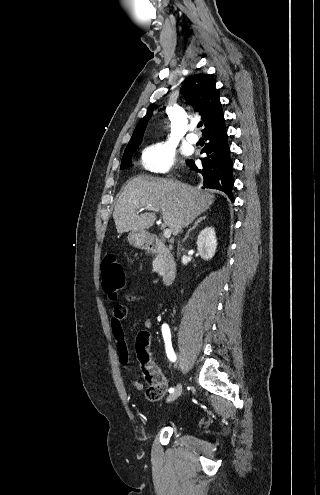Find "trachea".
Here are the masks:
<instances>
[{
    "mask_svg": "<svg viewBox=\"0 0 320 495\" xmlns=\"http://www.w3.org/2000/svg\"><path fill=\"white\" fill-rule=\"evenodd\" d=\"M201 126H202V123H199V124H198V127H201Z\"/></svg>",
    "mask_w": 320,
    "mask_h": 495,
    "instance_id": "obj_1",
    "label": "trachea"
}]
</instances>
